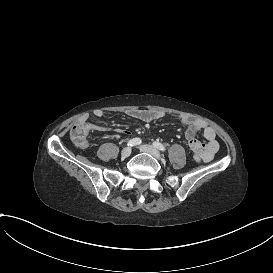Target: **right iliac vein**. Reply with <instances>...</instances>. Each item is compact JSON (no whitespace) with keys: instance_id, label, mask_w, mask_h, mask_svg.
<instances>
[{"instance_id":"63e3f726","label":"right iliac vein","mask_w":273,"mask_h":273,"mask_svg":"<svg viewBox=\"0 0 273 273\" xmlns=\"http://www.w3.org/2000/svg\"><path fill=\"white\" fill-rule=\"evenodd\" d=\"M130 154H131V148H130V147L124 148V149L122 150V152H121V156H122L123 158L129 157Z\"/></svg>"}]
</instances>
